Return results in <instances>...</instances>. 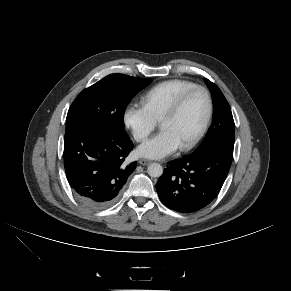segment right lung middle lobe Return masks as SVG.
<instances>
[{
	"mask_svg": "<svg viewBox=\"0 0 291 291\" xmlns=\"http://www.w3.org/2000/svg\"><path fill=\"white\" fill-rule=\"evenodd\" d=\"M151 81L123 74L104 77L76 97L67 114L66 131L77 128L124 131L126 106Z\"/></svg>",
	"mask_w": 291,
	"mask_h": 291,
	"instance_id": "dd1d6c3e",
	"label": "right lung middle lobe"
}]
</instances>
